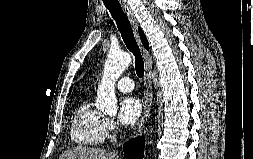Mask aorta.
Listing matches in <instances>:
<instances>
[{"label": "aorta", "mask_w": 253, "mask_h": 159, "mask_svg": "<svg viewBox=\"0 0 253 159\" xmlns=\"http://www.w3.org/2000/svg\"><path fill=\"white\" fill-rule=\"evenodd\" d=\"M131 63L129 53L110 51L104 64L103 76L97 90L96 108L107 114H116L118 102L115 84Z\"/></svg>", "instance_id": "1"}]
</instances>
